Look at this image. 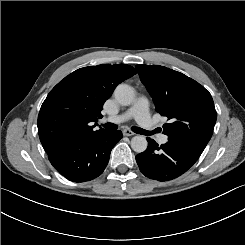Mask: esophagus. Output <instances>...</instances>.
<instances>
[{
  "label": "esophagus",
  "instance_id": "34e87169",
  "mask_svg": "<svg viewBox=\"0 0 245 245\" xmlns=\"http://www.w3.org/2000/svg\"><path fill=\"white\" fill-rule=\"evenodd\" d=\"M122 133H123L124 136H134V135H135V133L132 132V131L129 130V129H124V130L122 131Z\"/></svg>",
  "mask_w": 245,
  "mask_h": 245
}]
</instances>
